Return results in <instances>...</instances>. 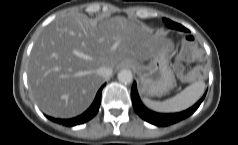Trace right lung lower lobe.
Segmentation results:
<instances>
[{
    "label": "right lung lower lobe",
    "instance_id": "98d812e1",
    "mask_svg": "<svg viewBox=\"0 0 238 145\" xmlns=\"http://www.w3.org/2000/svg\"><path fill=\"white\" fill-rule=\"evenodd\" d=\"M104 86H105V84L98 90L97 95H96L92 105L82 115L72 118V119H55L53 117H48V118L50 120H52L53 122H56V123H59V124L65 125V126H69V127L83 124V123L89 121L97 114V112L99 110V106H100V102H101V93H102V89Z\"/></svg>",
    "mask_w": 238,
    "mask_h": 145
}]
</instances>
